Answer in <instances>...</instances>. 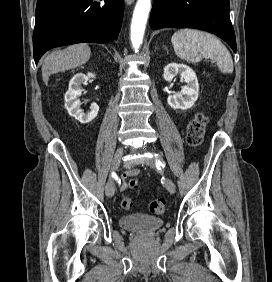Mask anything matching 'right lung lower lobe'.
Segmentation results:
<instances>
[{
  "label": "right lung lower lobe",
  "instance_id": "98d812e1",
  "mask_svg": "<svg viewBox=\"0 0 272 282\" xmlns=\"http://www.w3.org/2000/svg\"><path fill=\"white\" fill-rule=\"evenodd\" d=\"M124 0H38L33 34L34 59L57 46L114 41Z\"/></svg>",
  "mask_w": 272,
  "mask_h": 282
}]
</instances>
